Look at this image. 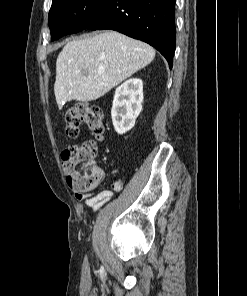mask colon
Wrapping results in <instances>:
<instances>
[{"label": "colon", "mask_w": 247, "mask_h": 296, "mask_svg": "<svg viewBox=\"0 0 247 296\" xmlns=\"http://www.w3.org/2000/svg\"><path fill=\"white\" fill-rule=\"evenodd\" d=\"M65 130L74 139L80 126L86 125L96 139L104 134V117L100 108L88 102L71 105L64 116ZM98 152L96 142L87 141L80 145H70L62 152V164L67 174V182L74 190L84 192L94 189L101 182L102 170L95 164Z\"/></svg>", "instance_id": "5ec220e1"}]
</instances>
